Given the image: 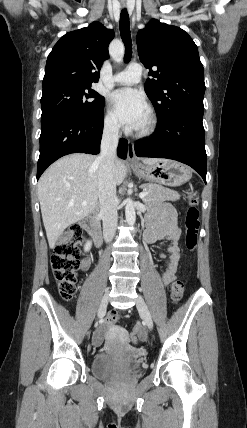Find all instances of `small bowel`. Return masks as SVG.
Returning <instances> with one entry per match:
<instances>
[{"mask_svg":"<svg viewBox=\"0 0 247 428\" xmlns=\"http://www.w3.org/2000/svg\"><path fill=\"white\" fill-rule=\"evenodd\" d=\"M180 229L177 226L176 211L169 203H163L158 206H153L147 219V229L145 239L149 243H154L162 239L171 241L167 250L169 252L168 262L165 266L162 282L168 286L176 278L179 262L181 259V251L179 247ZM161 258H165L163 253ZM91 259L83 260L82 268L87 270L90 267ZM103 341V330H99L95 337L94 343L100 345Z\"/></svg>","mask_w":247,"mask_h":428,"instance_id":"obj_1","label":"small bowel"}]
</instances>
